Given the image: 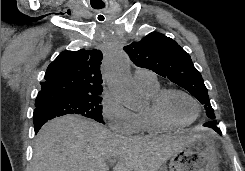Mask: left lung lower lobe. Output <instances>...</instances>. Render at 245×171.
<instances>
[{
	"label": "left lung lower lobe",
	"mask_w": 245,
	"mask_h": 171,
	"mask_svg": "<svg viewBox=\"0 0 245 171\" xmlns=\"http://www.w3.org/2000/svg\"><path fill=\"white\" fill-rule=\"evenodd\" d=\"M203 126L209 127L213 129L214 131H216L218 134H221V130L216 126L215 123L206 122Z\"/></svg>",
	"instance_id": "1"
}]
</instances>
